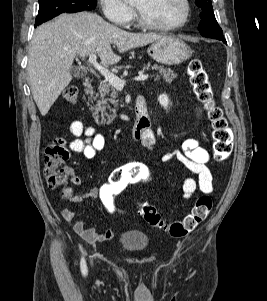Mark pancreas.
<instances>
[{
    "instance_id": "obj_1",
    "label": "pancreas",
    "mask_w": 267,
    "mask_h": 301,
    "mask_svg": "<svg viewBox=\"0 0 267 301\" xmlns=\"http://www.w3.org/2000/svg\"><path fill=\"white\" fill-rule=\"evenodd\" d=\"M150 69L157 71L156 79H160L162 77L166 81L170 82L176 77V74L170 68H164L163 66H158L156 64L151 65L150 62L143 67V71H148ZM116 96V90L109 82L102 81L100 83L98 92H95V96L91 97V99L96 102V104L91 107V110L94 111L93 116L96 122H100L101 124H110L116 118V112L118 110V99H116ZM108 102L113 105V108L109 106ZM107 110H109L112 114H108ZM99 112L101 113L100 116ZM105 116H107V120L105 119Z\"/></svg>"
}]
</instances>
